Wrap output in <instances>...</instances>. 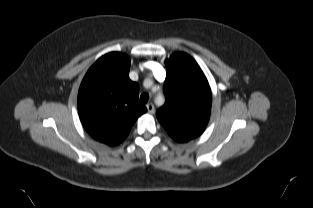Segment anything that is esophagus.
Masks as SVG:
<instances>
[{
	"label": "esophagus",
	"instance_id": "34e87169",
	"mask_svg": "<svg viewBox=\"0 0 313 208\" xmlns=\"http://www.w3.org/2000/svg\"><path fill=\"white\" fill-rule=\"evenodd\" d=\"M146 107H147V110H148V112L150 114H154L155 113V107H154V105L152 103L147 104Z\"/></svg>",
	"mask_w": 313,
	"mask_h": 208
}]
</instances>
